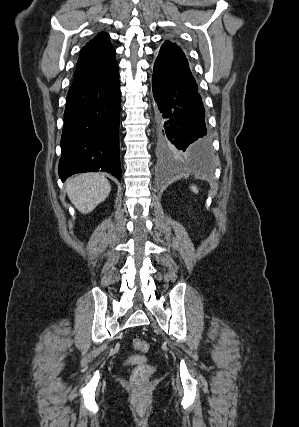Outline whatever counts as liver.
<instances>
[{"mask_svg": "<svg viewBox=\"0 0 299 427\" xmlns=\"http://www.w3.org/2000/svg\"><path fill=\"white\" fill-rule=\"evenodd\" d=\"M111 191L110 182L100 173H83L66 182V192L78 211L87 214L103 202Z\"/></svg>", "mask_w": 299, "mask_h": 427, "instance_id": "6515ba94", "label": "liver"}]
</instances>
